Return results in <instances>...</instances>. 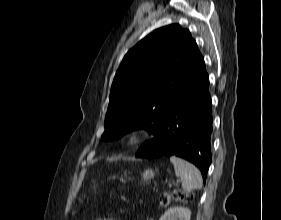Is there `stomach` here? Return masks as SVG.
<instances>
[{"label": "stomach", "instance_id": "1", "mask_svg": "<svg viewBox=\"0 0 281 220\" xmlns=\"http://www.w3.org/2000/svg\"><path fill=\"white\" fill-rule=\"evenodd\" d=\"M142 177L144 180H149L154 177V172L151 169H147L142 173Z\"/></svg>", "mask_w": 281, "mask_h": 220}]
</instances>
